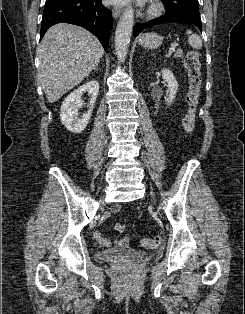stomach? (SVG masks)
I'll return each mask as SVG.
<instances>
[{
  "label": "stomach",
  "instance_id": "0dacf381",
  "mask_svg": "<svg viewBox=\"0 0 245 314\" xmlns=\"http://www.w3.org/2000/svg\"><path fill=\"white\" fill-rule=\"evenodd\" d=\"M163 38L157 33H145L138 38V43L144 47L155 49L162 43Z\"/></svg>",
  "mask_w": 245,
  "mask_h": 314
}]
</instances>
